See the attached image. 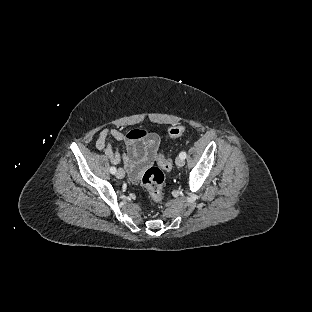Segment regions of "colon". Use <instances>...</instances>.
<instances>
[{
    "label": "colon",
    "instance_id": "obj_1",
    "mask_svg": "<svg viewBox=\"0 0 312 312\" xmlns=\"http://www.w3.org/2000/svg\"><path fill=\"white\" fill-rule=\"evenodd\" d=\"M169 133L171 137L174 138L180 137L183 134V128L178 126L173 127L170 129ZM145 134L146 133H144V135ZM158 165L162 167V169H165L167 171H170L173 167L172 161L164 156H160L158 158ZM141 183L146 188L150 197L153 200L157 202H162L164 173H162L161 170L156 169L154 167L149 168L142 176Z\"/></svg>",
    "mask_w": 312,
    "mask_h": 312
}]
</instances>
